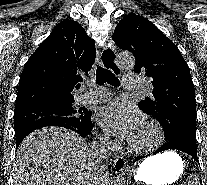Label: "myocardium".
Segmentation results:
<instances>
[{
	"label": "myocardium",
	"mask_w": 207,
	"mask_h": 185,
	"mask_svg": "<svg viewBox=\"0 0 207 185\" xmlns=\"http://www.w3.org/2000/svg\"><path fill=\"white\" fill-rule=\"evenodd\" d=\"M145 123L149 127H151L152 129H154V131L156 132V134L159 138L165 137V132H164L162 126L158 122L153 121V120H146ZM126 146H127L128 150L132 153H135L138 155H142L145 153V149H141V148L134 146L130 140H128L126 142Z\"/></svg>",
	"instance_id": "1"
}]
</instances>
